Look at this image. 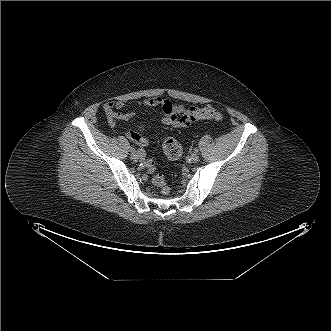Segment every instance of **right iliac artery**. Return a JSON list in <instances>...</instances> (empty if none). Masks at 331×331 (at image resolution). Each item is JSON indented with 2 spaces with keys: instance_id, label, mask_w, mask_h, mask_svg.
Here are the masks:
<instances>
[{
  "instance_id": "82829eb1",
  "label": "right iliac artery",
  "mask_w": 331,
  "mask_h": 331,
  "mask_svg": "<svg viewBox=\"0 0 331 331\" xmlns=\"http://www.w3.org/2000/svg\"><path fill=\"white\" fill-rule=\"evenodd\" d=\"M130 151H131V152H136V149H135L134 147L131 146V147H130Z\"/></svg>"
}]
</instances>
